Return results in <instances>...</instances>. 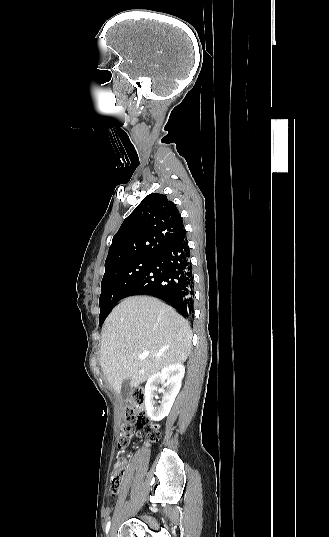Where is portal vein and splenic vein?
<instances>
[{"instance_id":"obj_1","label":"portal vein and splenic vein","mask_w":329,"mask_h":537,"mask_svg":"<svg viewBox=\"0 0 329 537\" xmlns=\"http://www.w3.org/2000/svg\"><path fill=\"white\" fill-rule=\"evenodd\" d=\"M148 354H149V353L139 354V355H138V358H139L140 360H144V359L147 357Z\"/></svg>"}]
</instances>
